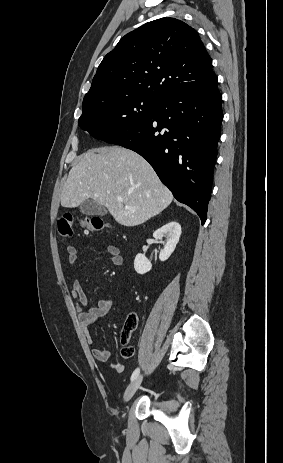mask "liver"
Wrapping results in <instances>:
<instances>
[{
    "mask_svg": "<svg viewBox=\"0 0 283 463\" xmlns=\"http://www.w3.org/2000/svg\"><path fill=\"white\" fill-rule=\"evenodd\" d=\"M87 199L105 206L119 224L131 227L161 213L173 195L143 157L113 146L87 151L69 172L61 205L75 208Z\"/></svg>",
    "mask_w": 283,
    "mask_h": 463,
    "instance_id": "6515ba94",
    "label": "liver"
}]
</instances>
